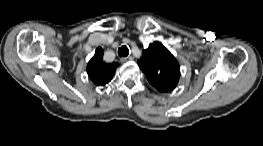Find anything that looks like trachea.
Masks as SVG:
<instances>
[{
  "mask_svg": "<svg viewBox=\"0 0 263 146\" xmlns=\"http://www.w3.org/2000/svg\"><path fill=\"white\" fill-rule=\"evenodd\" d=\"M128 54H129V49L126 46H121L118 49V55L120 57H126V56H128Z\"/></svg>",
  "mask_w": 263,
  "mask_h": 146,
  "instance_id": "1",
  "label": "trachea"
}]
</instances>
